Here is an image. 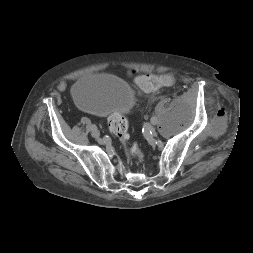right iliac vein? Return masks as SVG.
Instances as JSON below:
<instances>
[{"label":"right iliac vein","mask_w":253,"mask_h":253,"mask_svg":"<svg viewBox=\"0 0 253 253\" xmlns=\"http://www.w3.org/2000/svg\"><path fill=\"white\" fill-rule=\"evenodd\" d=\"M92 136L93 137H95V138H98L99 137V135H100V133H99V131L97 130V129H94V130H92Z\"/></svg>","instance_id":"obj_1"}]
</instances>
